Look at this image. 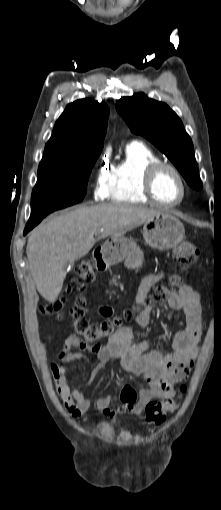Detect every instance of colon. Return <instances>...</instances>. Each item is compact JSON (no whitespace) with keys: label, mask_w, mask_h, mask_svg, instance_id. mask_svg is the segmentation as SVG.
<instances>
[{"label":"colon","mask_w":221,"mask_h":510,"mask_svg":"<svg viewBox=\"0 0 221 510\" xmlns=\"http://www.w3.org/2000/svg\"><path fill=\"white\" fill-rule=\"evenodd\" d=\"M174 261L181 270L187 269L194 264L199 257V251L196 245L191 241H184L174 250ZM95 275V262L93 259H84L77 268V278L81 282H89ZM178 277L172 278V283L177 284ZM169 295L168 286L160 284L155 286L151 293L146 296L141 306H136L135 310H126L122 317L104 320L100 323L91 322L86 317L85 300L78 298L75 305L70 309L69 314L73 319V331L75 335L82 337L88 344H94L102 340H109L119 330L123 320H130L135 314H138L142 307H151L154 303H159L167 299ZM65 299H59L46 305L42 311L54 318L61 320L64 317ZM180 393L186 391V385L181 384ZM178 401L173 397L163 398L160 401H150L145 407L143 423L146 425H160L167 419L169 413L178 408Z\"/></svg>","instance_id":"obj_1"}]
</instances>
